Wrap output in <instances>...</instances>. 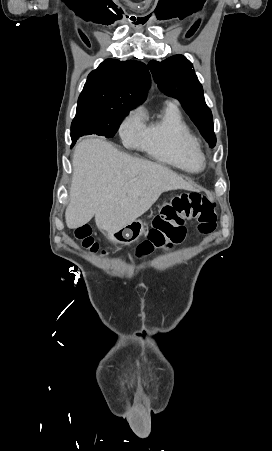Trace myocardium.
Listing matches in <instances>:
<instances>
[{"label":"myocardium","instance_id":"1","mask_svg":"<svg viewBox=\"0 0 272 451\" xmlns=\"http://www.w3.org/2000/svg\"><path fill=\"white\" fill-rule=\"evenodd\" d=\"M192 153H193V156H194V158H195V160L197 162V166H198L197 168L199 170L202 167V165L204 164V162H205L204 153H203V151L201 150V148L197 144L194 146ZM107 193H108V191H107Z\"/></svg>","mask_w":272,"mask_h":451}]
</instances>
